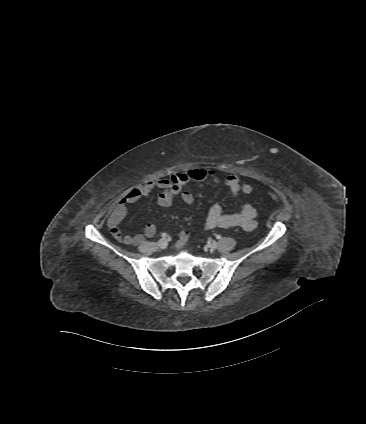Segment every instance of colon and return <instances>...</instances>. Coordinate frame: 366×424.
<instances>
[{
    "instance_id": "colon-1",
    "label": "colon",
    "mask_w": 366,
    "mask_h": 424,
    "mask_svg": "<svg viewBox=\"0 0 366 424\" xmlns=\"http://www.w3.org/2000/svg\"><path fill=\"white\" fill-rule=\"evenodd\" d=\"M207 172L205 170H194V171H190L189 172V177L197 182H202L207 178ZM243 186V191L246 194H250L253 192L254 187L251 184L248 183H242ZM270 196L276 200V201H280V197L277 195V193H275L274 191L270 190L269 191Z\"/></svg>"
}]
</instances>
